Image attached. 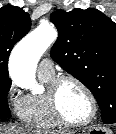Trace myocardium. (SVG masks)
Returning a JSON list of instances; mask_svg holds the SVG:
<instances>
[{"label": "myocardium", "instance_id": "obj_1", "mask_svg": "<svg viewBox=\"0 0 116 134\" xmlns=\"http://www.w3.org/2000/svg\"><path fill=\"white\" fill-rule=\"evenodd\" d=\"M66 82H72L79 86L88 96L91 104V112L89 116L81 122H73L68 120L61 112L58 102V96L62 85ZM47 98L51 112L55 119L62 125L71 128H82L91 124L97 116L98 104L95 95L91 89L78 78L71 75H61L55 77L49 84L47 89Z\"/></svg>", "mask_w": 116, "mask_h": 134}]
</instances>
